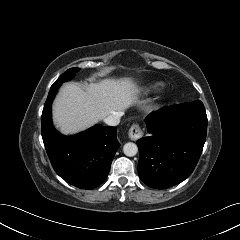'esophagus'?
<instances>
[{"label": "esophagus", "instance_id": "1", "mask_svg": "<svg viewBox=\"0 0 240 240\" xmlns=\"http://www.w3.org/2000/svg\"><path fill=\"white\" fill-rule=\"evenodd\" d=\"M143 134L144 133L138 124H133L128 131L129 138L133 141L142 138Z\"/></svg>", "mask_w": 240, "mask_h": 240}]
</instances>
